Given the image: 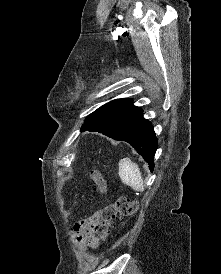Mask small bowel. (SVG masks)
Masks as SVG:
<instances>
[{"label": "small bowel", "instance_id": "small-bowel-1", "mask_svg": "<svg viewBox=\"0 0 221 274\" xmlns=\"http://www.w3.org/2000/svg\"><path fill=\"white\" fill-rule=\"evenodd\" d=\"M101 221V212L86 217L74 225V237L80 248L88 246L96 248L99 242L98 226Z\"/></svg>", "mask_w": 221, "mask_h": 274}]
</instances>
